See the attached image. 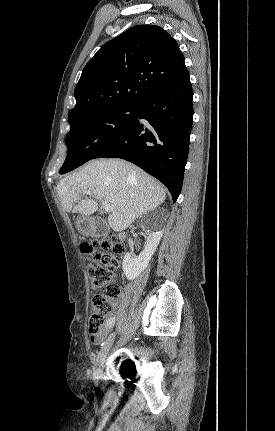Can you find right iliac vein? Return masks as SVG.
I'll return each mask as SVG.
<instances>
[{"label": "right iliac vein", "mask_w": 275, "mask_h": 431, "mask_svg": "<svg viewBox=\"0 0 275 431\" xmlns=\"http://www.w3.org/2000/svg\"><path fill=\"white\" fill-rule=\"evenodd\" d=\"M114 339H115V334L112 333L106 339L104 345L102 346L100 352L98 353V356L95 362V368H94V375L97 378H99L102 375L104 363L109 353V350L114 342Z\"/></svg>", "instance_id": "63e3f726"}]
</instances>
